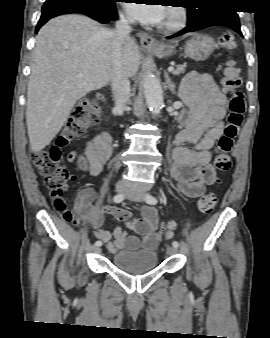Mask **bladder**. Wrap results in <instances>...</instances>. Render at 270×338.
Segmentation results:
<instances>
[{
  "label": "bladder",
  "instance_id": "31cf9c89",
  "mask_svg": "<svg viewBox=\"0 0 270 338\" xmlns=\"http://www.w3.org/2000/svg\"><path fill=\"white\" fill-rule=\"evenodd\" d=\"M111 264L120 271L141 275L157 267L158 255L155 250L131 252L122 249L113 254Z\"/></svg>",
  "mask_w": 270,
  "mask_h": 338
}]
</instances>
